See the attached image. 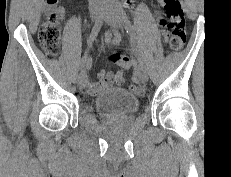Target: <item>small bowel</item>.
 Wrapping results in <instances>:
<instances>
[{
  "mask_svg": "<svg viewBox=\"0 0 231 177\" xmlns=\"http://www.w3.org/2000/svg\"><path fill=\"white\" fill-rule=\"evenodd\" d=\"M57 3V1H56ZM56 3L54 4H49L50 7H55V11L58 14L59 17H63L65 14V7L62 5L55 6ZM128 5H131V0H127ZM120 41V36L117 32L114 33H107L105 35V42L111 45H116ZM121 65V70L113 73V72H108L106 70H99L97 73V79L94 82L89 83L88 89L89 92L93 95L98 94L100 91L106 88L110 87H117L121 86L125 82V77H124V72L126 70L132 69L135 67V61L129 60L127 62H120ZM130 85L128 87L129 90Z\"/></svg>",
  "mask_w": 231,
  "mask_h": 177,
  "instance_id": "1",
  "label": "small bowel"
}]
</instances>
